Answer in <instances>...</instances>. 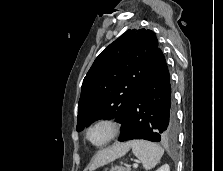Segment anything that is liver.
Instances as JSON below:
<instances>
[{"label": "liver", "mask_w": 223, "mask_h": 171, "mask_svg": "<svg viewBox=\"0 0 223 171\" xmlns=\"http://www.w3.org/2000/svg\"><path fill=\"white\" fill-rule=\"evenodd\" d=\"M129 149V143H117L105 150L99 151L89 164V170L94 171L98 167L124 156L129 151Z\"/></svg>", "instance_id": "6515ba94"}]
</instances>
